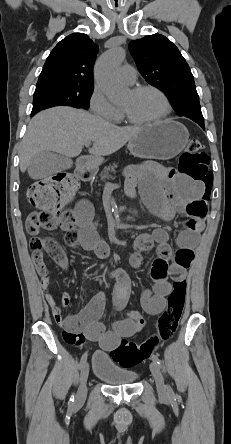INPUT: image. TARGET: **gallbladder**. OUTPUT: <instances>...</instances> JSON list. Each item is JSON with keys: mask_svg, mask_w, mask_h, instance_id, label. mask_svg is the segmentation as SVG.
<instances>
[{"mask_svg": "<svg viewBox=\"0 0 231 444\" xmlns=\"http://www.w3.org/2000/svg\"><path fill=\"white\" fill-rule=\"evenodd\" d=\"M69 165L66 157L55 152L43 151L32 157L28 174L32 179H41L68 169Z\"/></svg>", "mask_w": 231, "mask_h": 444, "instance_id": "bac80fb5", "label": "gallbladder"}]
</instances>
